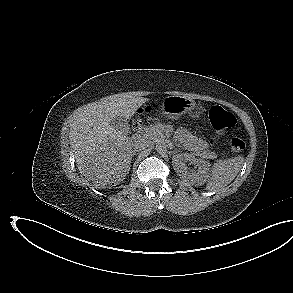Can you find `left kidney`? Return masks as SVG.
<instances>
[{
	"mask_svg": "<svg viewBox=\"0 0 293 293\" xmlns=\"http://www.w3.org/2000/svg\"><path fill=\"white\" fill-rule=\"evenodd\" d=\"M188 161L196 165L197 170L195 172L187 171L185 162ZM172 163L180 178L190 182L191 184H203L210 170V164L207 161L203 159H196L195 156L190 153H182L173 156Z\"/></svg>",
	"mask_w": 293,
	"mask_h": 293,
	"instance_id": "left-kidney-1",
	"label": "left kidney"
}]
</instances>
